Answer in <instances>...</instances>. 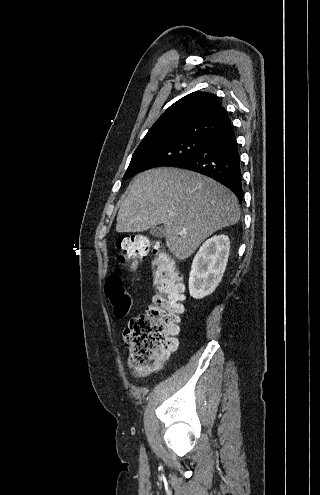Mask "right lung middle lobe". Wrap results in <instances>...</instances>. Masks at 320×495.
Segmentation results:
<instances>
[{
	"instance_id": "obj_1",
	"label": "right lung middle lobe",
	"mask_w": 320,
	"mask_h": 495,
	"mask_svg": "<svg viewBox=\"0 0 320 495\" xmlns=\"http://www.w3.org/2000/svg\"><path fill=\"white\" fill-rule=\"evenodd\" d=\"M204 142L203 138H185L156 145L138 146L123 179L153 167L175 166L192 157Z\"/></svg>"
}]
</instances>
